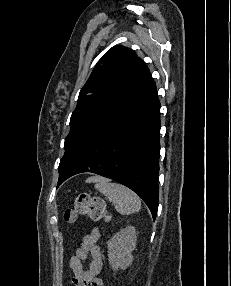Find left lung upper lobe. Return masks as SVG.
<instances>
[{
	"instance_id": "obj_1",
	"label": "left lung upper lobe",
	"mask_w": 231,
	"mask_h": 286,
	"mask_svg": "<svg viewBox=\"0 0 231 286\" xmlns=\"http://www.w3.org/2000/svg\"><path fill=\"white\" fill-rule=\"evenodd\" d=\"M150 76L148 67L127 47L115 46L104 54L79 93L59 176L87 133Z\"/></svg>"
}]
</instances>
